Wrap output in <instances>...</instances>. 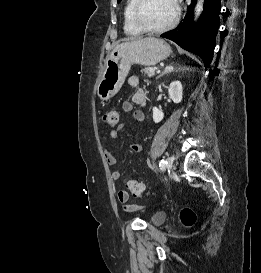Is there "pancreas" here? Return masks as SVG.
Listing matches in <instances>:
<instances>
[{
  "label": "pancreas",
  "instance_id": "pancreas-1",
  "mask_svg": "<svg viewBox=\"0 0 261 273\" xmlns=\"http://www.w3.org/2000/svg\"><path fill=\"white\" fill-rule=\"evenodd\" d=\"M157 70L156 67H146L141 70V72L144 75H147L148 77H153L155 75V71Z\"/></svg>",
  "mask_w": 261,
  "mask_h": 273
}]
</instances>
